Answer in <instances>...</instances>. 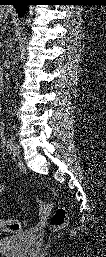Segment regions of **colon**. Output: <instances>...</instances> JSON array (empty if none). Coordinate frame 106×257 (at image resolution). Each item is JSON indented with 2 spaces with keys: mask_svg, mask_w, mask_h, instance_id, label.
<instances>
[{
  "mask_svg": "<svg viewBox=\"0 0 106 257\" xmlns=\"http://www.w3.org/2000/svg\"><path fill=\"white\" fill-rule=\"evenodd\" d=\"M67 223V211L63 207L55 209L50 217V224L55 231L62 230ZM25 222L21 220L2 219L0 221V228L2 231L9 233H17L23 230Z\"/></svg>",
  "mask_w": 106,
  "mask_h": 257,
  "instance_id": "obj_1",
  "label": "colon"
}]
</instances>
